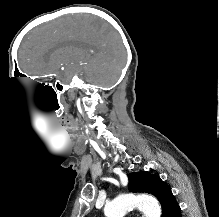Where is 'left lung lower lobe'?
<instances>
[{"label":"left lung lower lobe","instance_id":"0a47b994","mask_svg":"<svg viewBox=\"0 0 219 217\" xmlns=\"http://www.w3.org/2000/svg\"><path fill=\"white\" fill-rule=\"evenodd\" d=\"M166 217H182L181 209L179 205L177 204V202L172 203Z\"/></svg>","mask_w":219,"mask_h":217}]
</instances>
